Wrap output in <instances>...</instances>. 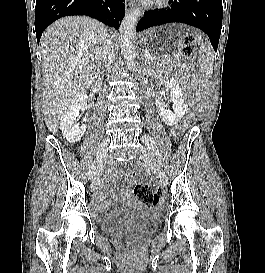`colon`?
Instances as JSON below:
<instances>
[{"label":"colon","instance_id":"colon-1","mask_svg":"<svg viewBox=\"0 0 265 273\" xmlns=\"http://www.w3.org/2000/svg\"><path fill=\"white\" fill-rule=\"evenodd\" d=\"M195 38L193 36H188L184 40L183 53L185 55H193L195 53ZM129 174L131 177L136 178L138 176L137 171L130 170ZM134 194L138 201L145 205H156L160 199V192L152 184L147 182H140L135 185ZM140 237H135L134 239H124L125 243L132 242L138 243Z\"/></svg>","mask_w":265,"mask_h":273}]
</instances>
